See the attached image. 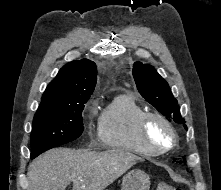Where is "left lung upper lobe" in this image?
Here are the masks:
<instances>
[{"label":"left lung upper lobe","mask_w":221,"mask_h":190,"mask_svg":"<svg viewBox=\"0 0 221 190\" xmlns=\"http://www.w3.org/2000/svg\"><path fill=\"white\" fill-rule=\"evenodd\" d=\"M132 73L139 93L147 102L176 123H185L168 83L151 65L136 62ZM184 127L187 129L186 125Z\"/></svg>","instance_id":"obj_1"}]
</instances>
